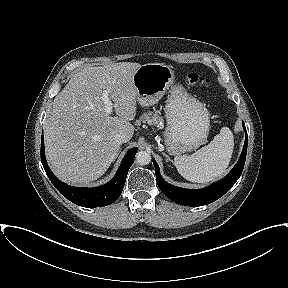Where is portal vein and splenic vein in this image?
I'll return each mask as SVG.
<instances>
[{"instance_id":"1","label":"portal vein and splenic vein","mask_w":288,"mask_h":288,"mask_svg":"<svg viewBox=\"0 0 288 288\" xmlns=\"http://www.w3.org/2000/svg\"><path fill=\"white\" fill-rule=\"evenodd\" d=\"M108 94H109V91L108 90H105L103 93H102V101L104 102V105H105V112L107 114H111L112 112V108L114 107V104L111 102V100L109 99L108 97Z\"/></svg>"}]
</instances>
